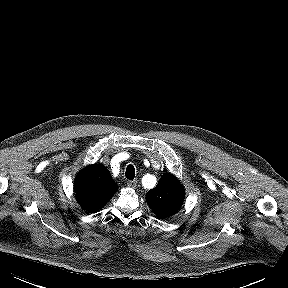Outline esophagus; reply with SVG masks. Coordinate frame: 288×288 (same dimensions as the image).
Wrapping results in <instances>:
<instances>
[{"label": "esophagus", "mask_w": 288, "mask_h": 288, "mask_svg": "<svg viewBox=\"0 0 288 288\" xmlns=\"http://www.w3.org/2000/svg\"><path fill=\"white\" fill-rule=\"evenodd\" d=\"M127 186L130 188H135L137 186V180H129Z\"/></svg>", "instance_id": "1"}]
</instances>
